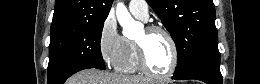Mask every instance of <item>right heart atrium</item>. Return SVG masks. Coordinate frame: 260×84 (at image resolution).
<instances>
[{
  "label": "right heart atrium",
  "mask_w": 260,
  "mask_h": 84,
  "mask_svg": "<svg viewBox=\"0 0 260 84\" xmlns=\"http://www.w3.org/2000/svg\"><path fill=\"white\" fill-rule=\"evenodd\" d=\"M123 36L118 32L116 21L107 16L103 21L98 35L100 57L110 66H115L122 55Z\"/></svg>",
  "instance_id": "right-heart-atrium-1"
}]
</instances>
